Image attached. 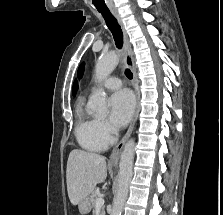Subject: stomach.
<instances>
[{
  "label": "stomach",
  "mask_w": 223,
  "mask_h": 215,
  "mask_svg": "<svg viewBox=\"0 0 223 215\" xmlns=\"http://www.w3.org/2000/svg\"><path fill=\"white\" fill-rule=\"evenodd\" d=\"M86 199V197H85ZM82 199V201H79V211L80 213H88V211H90V206H91V202L88 201L87 199ZM88 201V202H87Z\"/></svg>",
  "instance_id": "stomach-1"
}]
</instances>
